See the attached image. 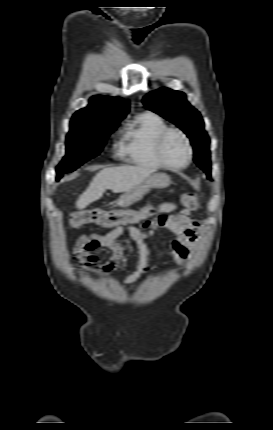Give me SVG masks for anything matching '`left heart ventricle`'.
I'll return each mask as SVG.
<instances>
[{
	"instance_id": "obj_1",
	"label": "left heart ventricle",
	"mask_w": 273,
	"mask_h": 430,
	"mask_svg": "<svg viewBox=\"0 0 273 430\" xmlns=\"http://www.w3.org/2000/svg\"><path fill=\"white\" fill-rule=\"evenodd\" d=\"M166 160L174 165L184 164L187 160V149L183 138L176 134H170L163 147Z\"/></svg>"
}]
</instances>
